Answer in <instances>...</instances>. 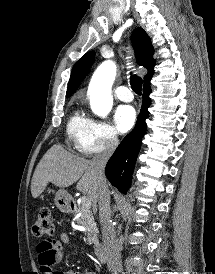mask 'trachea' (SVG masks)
<instances>
[{
  "label": "trachea",
  "instance_id": "trachea-1",
  "mask_svg": "<svg viewBox=\"0 0 215 274\" xmlns=\"http://www.w3.org/2000/svg\"><path fill=\"white\" fill-rule=\"evenodd\" d=\"M130 74H131L130 76L131 88L133 89L134 92L140 95L142 90V79L136 75H132V72Z\"/></svg>",
  "mask_w": 215,
  "mask_h": 274
}]
</instances>
